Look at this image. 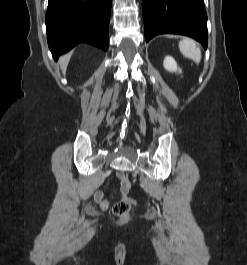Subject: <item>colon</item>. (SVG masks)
Listing matches in <instances>:
<instances>
[{
	"mask_svg": "<svg viewBox=\"0 0 247 265\" xmlns=\"http://www.w3.org/2000/svg\"><path fill=\"white\" fill-rule=\"evenodd\" d=\"M118 177L120 179L121 189L128 191L131 187L129 179L124 174H119ZM130 209L131 203L128 200H120L114 204L112 212L116 217L125 220L128 218Z\"/></svg>",
	"mask_w": 247,
	"mask_h": 265,
	"instance_id": "obj_1",
	"label": "colon"
}]
</instances>
